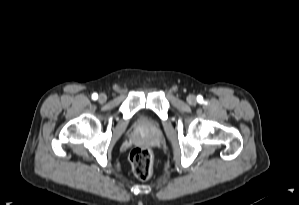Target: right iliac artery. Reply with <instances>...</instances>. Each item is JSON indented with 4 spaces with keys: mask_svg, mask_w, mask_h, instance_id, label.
Listing matches in <instances>:
<instances>
[{
    "mask_svg": "<svg viewBox=\"0 0 299 205\" xmlns=\"http://www.w3.org/2000/svg\"><path fill=\"white\" fill-rule=\"evenodd\" d=\"M97 98H98V94H97V93H93V94H92V99H93V100H97Z\"/></svg>",
    "mask_w": 299,
    "mask_h": 205,
    "instance_id": "right-iliac-artery-1",
    "label": "right iliac artery"
}]
</instances>
